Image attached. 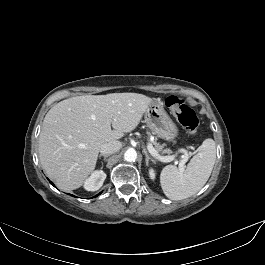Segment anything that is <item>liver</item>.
Returning <instances> with one entry per match:
<instances>
[{"label": "liver", "mask_w": 265, "mask_h": 265, "mask_svg": "<svg viewBox=\"0 0 265 265\" xmlns=\"http://www.w3.org/2000/svg\"><path fill=\"white\" fill-rule=\"evenodd\" d=\"M152 102L143 94L112 93L54 105L39 136V159L47 176L63 191L79 188L94 171L101 146L134 130Z\"/></svg>", "instance_id": "liver-1"}]
</instances>
